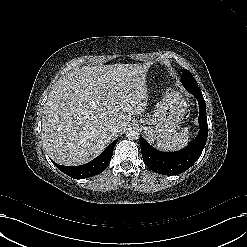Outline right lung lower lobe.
I'll return each mask as SVG.
<instances>
[{
  "mask_svg": "<svg viewBox=\"0 0 247 247\" xmlns=\"http://www.w3.org/2000/svg\"><path fill=\"white\" fill-rule=\"evenodd\" d=\"M117 140L113 141L106 150L100 154L97 158L93 159L89 163L80 166H63L54 163V165L66 175L74 179L89 178L94 175L103 172L110 164L111 157L113 154L114 147Z\"/></svg>",
  "mask_w": 247,
  "mask_h": 247,
  "instance_id": "98d812e1",
  "label": "right lung lower lobe"
}]
</instances>
